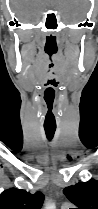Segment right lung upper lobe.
<instances>
[{
    "label": "right lung upper lobe",
    "mask_w": 98,
    "mask_h": 209,
    "mask_svg": "<svg viewBox=\"0 0 98 209\" xmlns=\"http://www.w3.org/2000/svg\"><path fill=\"white\" fill-rule=\"evenodd\" d=\"M44 195L31 194L22 189L10 188L0 195V209H41Z\"/></svg>",
    "instance_id": "obj_1"
}]
</instances>
